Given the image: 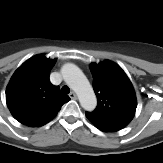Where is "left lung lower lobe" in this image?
Wrapping results in <instances>:
<instances>
[{
    "mask_svg": "<svg viewBox=\"0 0 163 163\" xmlns=\"http://www.w3.org/2000/svg\"><path fill=\"white\" fill-rule=\"evenodd\" d=\"M88 119L95 127H97L98 129H100L103 132H115V131L121 130L122 128H124L127 125V123L104 122V121L93 120L90 118H88Z\"/></svg>",
    "mask_w": 163,
    "mask_h": 163,
    "instance_id": "1",
    "label": "left lung lower lobe"
}]
</instances>
